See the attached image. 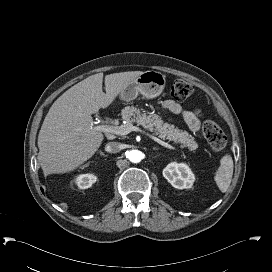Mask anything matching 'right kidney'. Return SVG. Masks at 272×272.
I'll return each mask as SVG.
<instances>
[{
    "label": "right kidney",
    "mask_w": 272,
    "mask_h": 272,
    "mask_svg": "<svg viewBox=\"0 0 272 272\" xmlns=\"http://www.w3.org/2000/svg\"><path fill=\"white\" fill-rule=\"evenodd\" d=\"M97 180V177L93 174H81L78 175L74 182L80 189H87L92 186L93 183H95Z\"/></svg>",
    "instance_id": "right-kidney-1"
}]
</instances>
